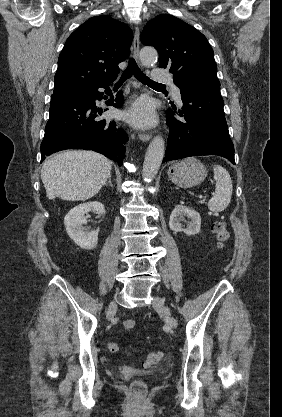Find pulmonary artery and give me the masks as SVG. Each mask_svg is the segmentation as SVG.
I'll return each instance as SVG.
<instances>
[{
  "mask_svg": "<svg viewBox=\"0 0 282 417\" xmlns=\"http://www.w3.org/2000/svg\"><path fill=\"white\" fill-rule=\"evenodd\" d=\"M153 75L151 76V81L153 83H171L172 76L171 74H162L163 67L162 65H153L152 67ZM175 95L178 100H180V91L175 87Z\"/></svg>",
  "mask_w": 282,
  "mask_h": 417,
  "instance_id": "e3ab8cb5",
  "label": "pulmonary artery"
}]
</instances>
